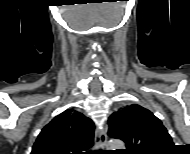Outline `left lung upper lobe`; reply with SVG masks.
I'll use <instances>...</instances> for the list:
<instances>
[{"label":"left lung upper lobe","mask_w":190,"mask_h":154,"mask_svg":"<svg viewBox=\"0 0 190 154\" xmlns=\"http://www.w3.org/2000/svg\"><path fill=\"white\" fill-rule=\"evenodd\" d=\"M108 123V135L124 141L127 154H159L174 145L162 122L140 105L119 109Z\"/></svg>","instance_id":"1"}]
</instances>
